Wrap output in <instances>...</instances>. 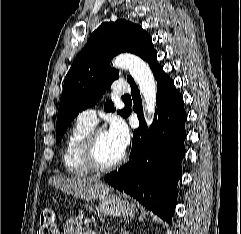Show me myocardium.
<instances>
[{
	"instance_id": "1",
	"label": "myocardium",
	"mask_w": 241,
	"mask_h": 234,
	"mask_svg": "<svg viewBox=\"0 0 241 234\" xmlns=\"http://www.w3.org/2000/svg\"><path fill=\"white\" fill-rule=\"evenodd\" d=\"M103 131H105L103 128L92 129L87 135L83 146V159L86 165L92 171L100 173L109 172L118 168L127 158L126 152H123L121 157L111 164L105 165L99 161L97 157V136Z\"/></svg>"
}]
</instances>
